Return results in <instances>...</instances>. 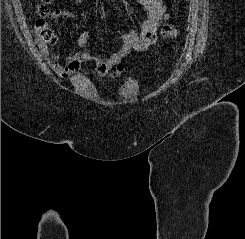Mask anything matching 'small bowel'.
I'll return each instance as SVG.
<instances>
[{
  "mask_svg": "<svg viewBox=\"0 0 245 239\" xmlns=\"http://www.w3.org/2000/svg\"><path fill=\"white\" fill-rule=\"evenodd\" d=\"M83 0H74L75 4ZM145 10L146 17L141 24L140 31H129L121 39L119 48L108 57H102L89 51L75 52L66 56L61 61L57 54H47L44 50L45 59L50 68L61 78L69 79L83 66L94 69L96 76L100 79L108 78L113 81L118 78L124 70L122 60L131 51H146L156 42V33L166 10L162 0H136ZM75 13L70 9H58L51 14L52 20L72 19ZM90 35L83 32L78 38V45L86 49L89 45Z\"/></svg>",
  "mask_w": 245,
  "mask_h": 239,
  "instance_id": "small-bowel-1",
  "label": "small bowel"
}]
</instances>
